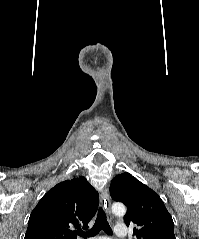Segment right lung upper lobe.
Wrapping results in <instances>:
<instances>
[{
    "label": "right lung upper lobe",
    "instance_id": "right-lung-upper-lobe-1",
    "mask_svg": "<svg viewBox=\"0 0 199 239\" xmlns=\"http://www.w3.org/2000/svg\"><path fill=\"white\" fill-rule=\"evenodd\" d=\"M98 192L85 177L72 178L48 191L32 211L24 239H76L96 213Z\"/></svg>",
    "mask_w": 199,
    "mask_h": 239
}]
</instances>
